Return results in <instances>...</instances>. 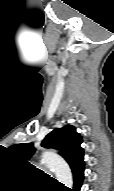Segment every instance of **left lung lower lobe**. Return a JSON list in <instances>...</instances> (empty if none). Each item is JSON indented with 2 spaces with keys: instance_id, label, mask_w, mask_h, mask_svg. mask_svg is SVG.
<instances>
[{
  "instance_id": "0a47b994",
  "label": "left lung lower lobe",
  "mask_w": 114,
  "mask_h": 191,
  "mask_svg": "<svg viewBox=\"0 0 114 191\" xmlns=\"http://www.w3.org/2000/svg\"><path fill=\"white\" fill-rule=\"evenodd\" d=\"M74 178V187L71 191H80L82 181L84 178V162L81 163L78 167L72 170Z\"/></svg>"
}]
</instances>
